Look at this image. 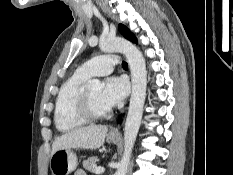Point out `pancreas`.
<instances>
[{
    "label": "pancreas",
    "instance_id": "pancreas-1",
    "mask_svg": "<svg viewBox=\"0 0 233 175\" xmlns=\"http://www.w3.org/2000/svg\"><path fill=\"white\" fill-rule=\"evenodd\" d=\"M99 159L96 156L89 157L87 160L83 161V167L85 170L93 172L96 168V162H98Z\"/></svg>",
    "mask_w": 233,
    "mask_h": 175
}]
</instances>
